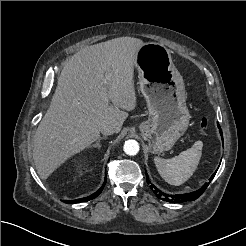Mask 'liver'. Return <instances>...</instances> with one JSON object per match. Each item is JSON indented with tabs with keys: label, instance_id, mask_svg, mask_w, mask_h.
Here are the masks:
<instances>
[{
	"label": "liver",
	"instance_id": "obj_1",
	"mask_svg": "<svg viewBox=\"0 0 246 246\" xmlns=\"http://www.w3.org/2000/svg\"><path fill=\"white\" fill-rule=\"evenodd\" d=\"M143 44L133 37L115 38L86 46L69 59L34 136L33 159L41 179L98 140L104 124L120 132L136 107L134 66Z\"/></svg>",
	"mask_w": 246,
	"mask_h": 246
}]
</instances>
